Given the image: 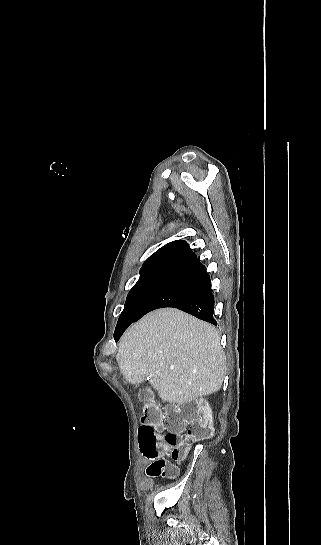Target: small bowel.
<instances>
[{
	"label": "small bowel",
	"instance_id": "1",
	"mask_svg": "<svg viewBox=\"0 0 321 545\" xmlns=\"http://www.w3.org/2000/svg\"><path fill=\"white\" fill-rule=\"evenodd\" d=\"M164 459L162 458H158L157 460H154L147 468V474L150 475V476H155L156 475V470H157V463L158 461H162ZM174 466V465H173ZM174 468L176 469V471L178 472V469L174 466Z\"/></svg>",
	"mask_w": 321,
	"mask_h": 545
}]
</instances>
